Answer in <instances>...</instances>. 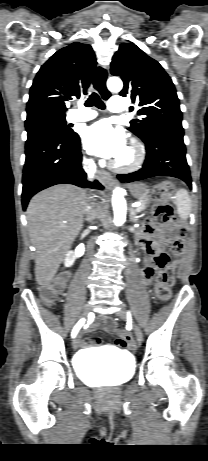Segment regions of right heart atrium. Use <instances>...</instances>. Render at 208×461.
<instances>
[{
    "label": "right heart atrium",
    "mask_w": 208,
    "mask_h": 461,
    "mask_svg": "<svg viewBox=\"0 0 208 461\" xmlns=\"http://www.w3.org/2000/svg\"><path fill=\"white\" fill-rule=\"evenodd\" d=\"M85 162L89 164V163H91V159L88 158V157H86V158H85Z\"/></svg>",
    "instance_id": "right-heart-atrium-1"
}]
</instances>
